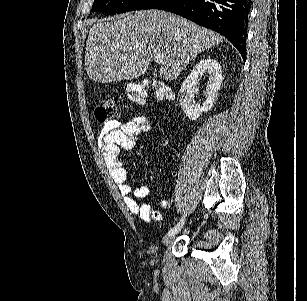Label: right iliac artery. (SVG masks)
I'll return each instance as SVG.
<instances>
[{
	"label": "right iliac artery",
	"mask_w": 307,
	"mask_h": 301,
	"mask_svg": "<svg viewBox=\"0 0 307 301\" xmlns=\"http://www.w3.org/2000/svg\"><path fill=\"white\" fill-rule=\"evenodd\" d=\"M184 219H185V215L182 217V219L180 220V222L174 226L169 232L168 234H176L177 232L180 231V229L182 228V226L184 225Z\"/></svg>",
	"instance_id": "right-iliac-artery-1"
}]
</instances>
